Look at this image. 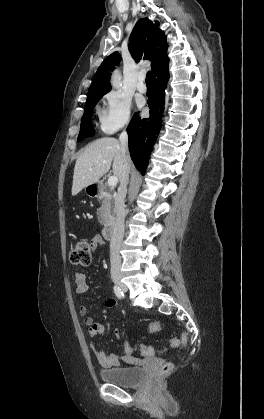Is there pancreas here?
Instances as JSON below:
<instances>
[{"instance_id": "cf45deb5", "label": "pancreas", "mask_w": 264, "mask_h": 419, "mask_svg": "<svg viewBox=\"0 0 264 419\" xmlns=\"http://www.w3.org/2000/svg\"><path fill=\"white\" fill-rule=\"evenodd\" d=\"M102 205L97 210V216L101 224L107 225L112 219L115 211L114 201L107 191L101 196Z\"/></svg>"}]
</instances>
